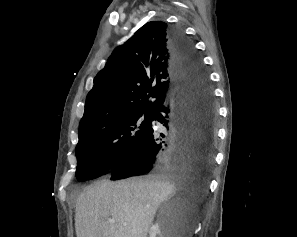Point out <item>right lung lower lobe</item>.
I'll list each match as a JSON object with an SVG mask.
<instances>
[{"label": "right lung lower lobe", "instance_id": "98d812e1", "mask_svg": "<svg viewBox=\"0 0 297 237\" xmlns=\"http://www.w3.org/2000/svg\"><path fill=\"white\" fill-rule=\"evenodd\" d=\"M172 72L177 89L156 108L145 138L118 160L111 180L149 173L208 174L214 157L216 109L211 85L193 44L180 29H170Z\"/></svg>", "mask_w": 297, "mask_h": 237}]
</instances>
